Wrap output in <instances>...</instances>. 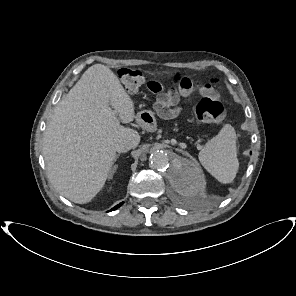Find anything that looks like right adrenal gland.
<instances>
[{
	"instance_id": "right-adrenal-gland-1",
	"label": "right adrenal gland",
	"mask_w": 296,
	"mask_h": 296,
	"mask_svg": "<svg viewBox=\"0 0 296 296\" xmlns=\"http://www.w3.org/2000/svg\"><path fill=\"white\" fill-rule=\"evenodd\" d=\"M119 156H120V154H117V155L115 156V160H114V162L119 158ZM116 169H117V165H114L113 169L111 170L110 175H113V174L116 172Z\"/></svg>"
}]
</instances>
